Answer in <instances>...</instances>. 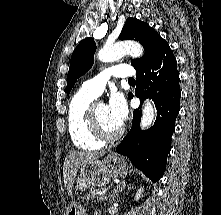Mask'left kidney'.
I'll return each mask as SVG.
<instances>
[{
  "instance_id": "5707ae66",
  "label": "left kidney",
  "mask_w": 221,
  "mask_h": 215,
  "mask_svg": "<svg viewBox=\"0 0 221 215\" xmlns=\"http://www.w3.org/2000/svg\"><path fill=\"white\" fill-rule=\"evenodd\" d=\"M144 188L140 187L135 195V200L138 201L141 197H143Z\"/></svg>"
}]
</instances>
